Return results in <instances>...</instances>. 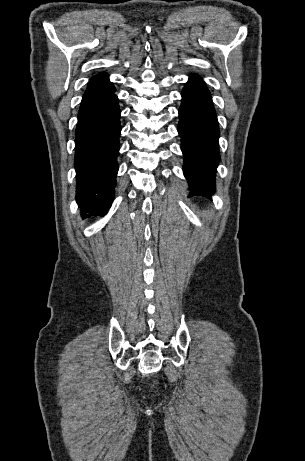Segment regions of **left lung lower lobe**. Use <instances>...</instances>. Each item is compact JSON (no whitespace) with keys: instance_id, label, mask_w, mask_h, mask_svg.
Listing matches in <instances>:
<instances>
[{"instance_id":"0a47b994","label":"left lung lower lobe","mask_w":305,"mask_h":461,"mask_svg":"<svg viewBox=\"0 0 305 461\" xmlns=\"http://www.w3.org/2000/svg\"><path fill=\"white\" fill-rule=\"evenodd\" d=\"M179 118L183 170L191 186L190 196L211 198L220 160L219 126L210 92L199 76L192 75L182 91Z\"/></svg>"}]
</instances>
